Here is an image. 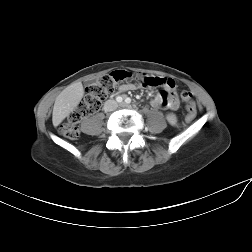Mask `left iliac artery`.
<instances>
[{"label":"left iliac artery","instance_id":"1","mask_svg":"<svg viewBox=\"0 0 252 252\" xmlns=\"http://www.w3.org/2000/svg\"><path fill=\"white\" fill-rule=\"evenodd\" d=\"M125 103H126V104H130V103H131V99H130L129 97H127V98L125 99Z\"/></svg>","mask_w":252,"mask_h":252}]
</instances>
